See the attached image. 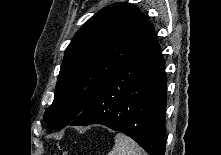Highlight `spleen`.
I'll use <instances>...</instances> for the list:
<instances>
[{"label":"spleen","instance_id":"obj_1","mask_svg":"<svg viewBox=\"0 0 221 155\" xmlns=\"http://www.w3.org/2000/svg\"><path fill=\"white\" fill-rule=\"evenodd\" d=\"M108 155H147V153L133 139L117 133L115 145Z\"/></svg>","mask_w":221,"mask_h":155}]
</instances>
